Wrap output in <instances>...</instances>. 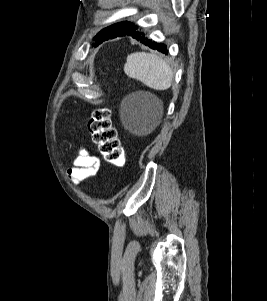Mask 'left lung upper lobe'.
<instances>
[{
  "instance_id": "5c2ea615",
  "label": "left lung upper lobe",
  "mask_w": 267,
  "mask_h": 301,
  "mask_svg": "<svg viewBox=\"0 0 267 301\" xmlns=\"http://www.w3.org/2000/svg\"><path fill=\"white\" fill-rule=\"evenodd\" d=\"M135 27L136 26L133 23L125 21L104 28L94 37L95 40L94 46L95 47L98 46L100 43H102L106 38H109L111 35L127 33Z\"/></svg>"
}]
</instances>
